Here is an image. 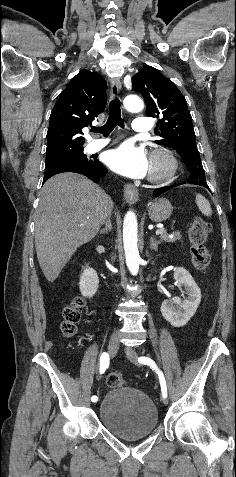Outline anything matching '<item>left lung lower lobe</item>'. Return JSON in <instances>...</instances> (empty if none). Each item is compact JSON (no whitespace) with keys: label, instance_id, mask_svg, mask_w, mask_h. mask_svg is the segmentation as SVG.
<instances>
[{"label":"left lung lower lobe","instance_id":"1","mask_svg":"<svg viewBox=\"0 0 236 477\" xmlns=\"http://www.w3.org/2000/svg\"><path fill=\"white\" fill-rule=\"evenodd\" d=\"M180 184H183V183H180ZM180 184H179V185H180ZM200 186H203V187L209 189V187H208L207 184H201ZM171 188H172V186H166V187H162V188L156 189V190L154 191V196L158 197L159 195H161L162 193H164L165 191H167V190H169V189H171Z\"/></svg>","mask_w":236,"mask_h":477}]
</instances>
